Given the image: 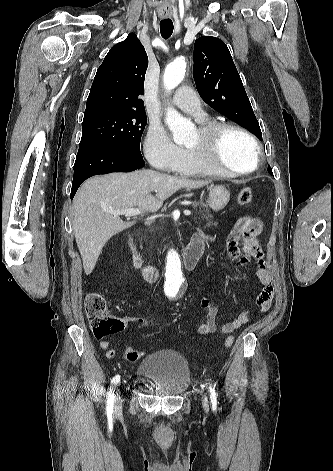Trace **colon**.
<instances>
[{"label": "colon", "mask_w": 333, "mask_h": 471, "mask_svg": "<svg viewBox=\"0 0 333 471\" xmlns=\"http://www.w3.org/2000/svg\"><path fill=\"white\" fill-rule=\"evenodd\" d=\"M252 200V191L249 187L243 188L237 197L238 204L241 206L248 205ZM85 313L89 322V326L93 335L97 339L119 333L125 328V321L112 315L107 308L105 298L99 293H90L85 298ZM234 342L233 336H228L225 340V348L232 346ZM140 350L126 346L124 349V357L130 362H135L142 357Z\"/></svg>", "instance_id": "5ec220e1"}]
</instances>
